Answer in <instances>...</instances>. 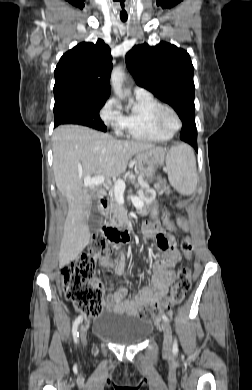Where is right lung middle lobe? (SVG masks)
Returning a JSON list of instances; mask_svg holds the SVG:
<instances>
[{
    "instance_id": "right-lung-middle-lobe-1",
    "label": "right lung middle lobe",
    "mask_w": 252,
    "mask_h": 390,
    "mask_svg": "<svg viewBox=\"0 0 252 390\" xmlns=\"http://www.w3.org/2000/svg\"><path fill=\"white\" fill-rule=\"evenodd\" d=\"M105 101L65 100L54 105V126L79 124L106 132L99 111Z\"/></svg>"
}]
</instances>
